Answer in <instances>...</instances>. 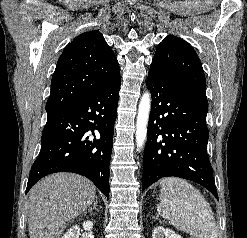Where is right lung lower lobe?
I'll use <instances>...</instances> for the list:
<instances>
[{"mask_svg":"<svg viewBox=\"0 0 247 238\" xmlns=\"http://www.w3.org/2000/svg\"><path fill=\"white\" fill-rule=\"evenodd\" d=\"M121 78L48 117L26 193L42 177L74 172L89 178L109 199V164Z\"/></svg>","mask_w":247,"mask_h":238,"instance_id":"right-lung-lower-lobe-1","label":"right lung lower lobe"}]
</instances>
